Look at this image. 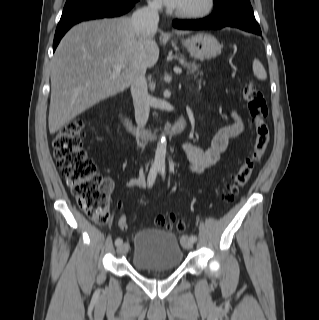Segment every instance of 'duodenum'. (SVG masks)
<instances>
[{
    "label": "duodenum",
    "mask_w": 319,
    "mask_h": 320,
    "mask_svg": "<svg viewBox=\"0 0 319 320\" xmlns=\"http://www.w3.org/2000/svg\"><path fill=\"white\" fill-rule=\"evenodd\" d=\"M185 124H186V122H185L184 117H180L175 123H173L172 125L168 126L162 132V135L163 136H174V135H177V134L181 133L184 130ZM134 132L137 134V136L139 138L150 137L151 139H154L157 136L155 133H149V132L143 131L140 128L134 129Z\"/></svg>",
    "instance_id": "obj_1"
}]
</instances>
